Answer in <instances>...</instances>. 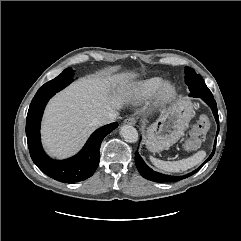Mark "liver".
Wrapping results in <instances>:
<instances>
[{"mask_svg": "<svg viewBox=\"0 0 241 241\" xmlns=\"http://www.w3.org/2000/svg\"><path fill=\"white\" fill-rule=\"evenodd\" d=\"M136 76L134 72L94 75L59 92L49 102L42 123V140L48 153L57 158L76 153L96 129L93 119L122 108Z\"/></svg>", "mask_w": 241, "mask_h": 241, "instance_id": "obj_1", "label": "liver"}]
</instances>
